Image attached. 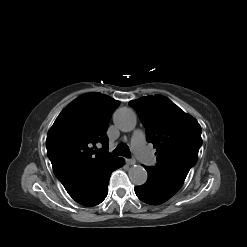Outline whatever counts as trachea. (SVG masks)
<instances>
[{
  "label": "trachea",
  "instance_id": "1",
  "mask_svg": "<svg viewBox=\"0 0 247 247\" xmlns=\"http://www.w3.org/2000/svg\"><path fill=\"white\" fill-rule=\"evenodd\" d=\"M113 155L129 157L130 156L129 147L126 144L121 143L115 148V150L113 151Z\"/></svg>",
  "mask_w": 247,
  "mask_h": 247
}]
</instances>
